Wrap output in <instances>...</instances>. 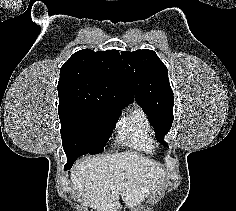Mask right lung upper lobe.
I'll return each instance as SVG.
<instances>
[{
    "mask_svg": "<svg viewBox=\"0 0 236 211\" xmlns=\"http://www.w3.org/2000/svg\"><path fill=\"white\" fill-rule=\"evenodd\" d=\"M58 109L97 107L123 109L133 101L118 51L84 49L60 69Z\"/></svg>",
    "mask_w": 236,
    "mask_h": 211,
    "instance_id": "obj_1",
    "label": "right lung upper lobe"
}]
</instances>
